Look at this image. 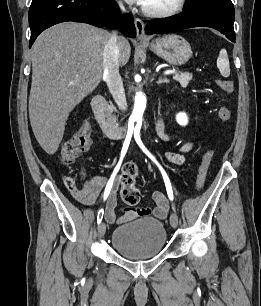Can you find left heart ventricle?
Wrapping results in <instances>:
<instances>
[{
    "instance_id": "b2bd125f",
    "label": "left heart ventricle",
    "mask_w": 261,
    "mask_h": 306,
    "mask_svg": "<svg viewBox=\"0 0 261 306\" xmlns=\"http://www.w3.org/2000/svg\"><path fill=\"white\" fill-rule=\"evenodd\" d=\"M176 0H148L147 4L145 5L147 8L150 9H166L171 7Z\"/></svg>"
}]
</instances>
